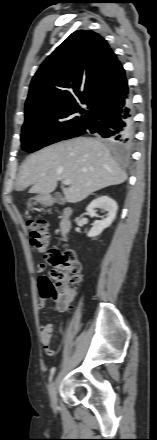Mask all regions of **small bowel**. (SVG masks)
Listing matches in <instances>:
<instances>
[{
  "label": "small bowel",
  "instance_id": "small-bowel-1",
  "mask_svg": "<svg viewBox=\"0 0 157 440\" xmlns=\"http://www.w3.org/2000/svg\"><path fill=\"white\" fill-rule=\"evenodd\" d=\"M46 269V265L44 263H40L37 266L38 272H43ZM45 308V302L40 301L38 304V309L43 310ZM40 339L44 348V351L48 356H54L55 352L51 347V339L53 335V325L52 324H44L39 327Z\"/></svg>",
  "mask_w": 157,
  "mask_h": 440
}]
</instances>
